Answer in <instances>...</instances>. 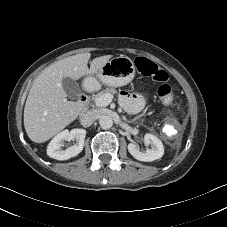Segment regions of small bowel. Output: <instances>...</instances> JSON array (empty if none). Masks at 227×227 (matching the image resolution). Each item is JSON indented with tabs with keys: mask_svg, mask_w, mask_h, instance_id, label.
I'll return each instance as SVG.
<instances>
[{
	"mask_svg": "<svg viewBox=\"0 0 227 227\" xmlns=\"http://www.w3.org/2000/svg\"><path fill=\"white\" fill-rule=\"evenodd\" d=\"M121 105L131 113H137L142 108V100L138 96H134L128 92H121Z\"/></svg>",
	"mask_w": 227,
	"mask_h": 227,
	"instance_id": "small-bowel-1",
	"label": "small bowel"
}]
</instances>
